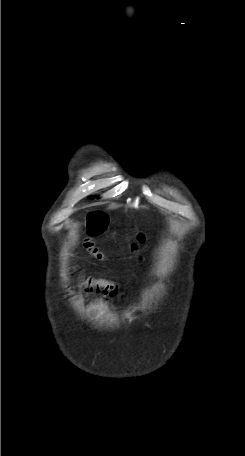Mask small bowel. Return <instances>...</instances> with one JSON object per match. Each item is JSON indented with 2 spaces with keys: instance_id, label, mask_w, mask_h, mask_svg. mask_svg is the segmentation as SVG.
<instances>
[{
  "instance_id": "c3829d8e",
  "label": "small bowel",
  "mask_w": 245,
  "mask_h": 456,
  "mask_svg": "<svg viewBox=\"0 0 245 456\" xmlns=\"http://www.w3.org/2000/svg\"><path fill=\"white\" fill-rule=\"evenodd\" d=\"M108 216L102 211L91 212L86 219V239L85 247L94 254L98 259L102 255L97 251L93 244V238L101 235L107 228ZM88 290L95 293H103L107 297H115L119 293V286L112 281L104 279L87 280Z\"/></svg>"
}]
</instances>
